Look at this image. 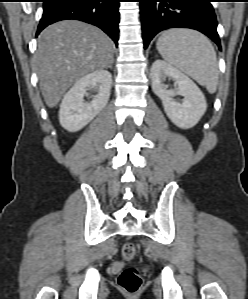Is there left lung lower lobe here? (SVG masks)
<instances>
[{"mask_svg": "<svg viewBox=\"0 0 248 299\" xmlns=\"http://www.w3.org/2000/svg\"><path fill=\"white\" fill-rule=\"evenodd\" d=\"M144 48L168 28H191L202 32L221 48L212 0H139Z\"/></svg>", "mask_w": 248, "mask_h": 299, "instance_id": "obj_1", "label": "left lung lower lobe"}]
</instances>
